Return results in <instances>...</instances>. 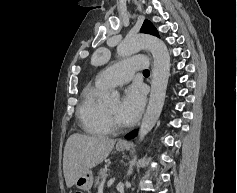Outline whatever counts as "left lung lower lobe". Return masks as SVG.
Instances as JSON below:
<instances>
[{
    "label": "left lung lower lobe",
    "instance_id": "obj_1",
    "mask_svg": "<svg viewBox=\"0 0 237 193\" xmlns=\"http://www.w3.org/2000/svg\"><path fill=\"white\" fill-rule=\"evenodd\" d=\"M136 133H137V131L135 130V131H133V132L127 134V135H126V138H127V139L133 138V137L136 135Z\"/></svg>",
    "mask_w": 237,
    "mask_h": 193
}]
</instances>
